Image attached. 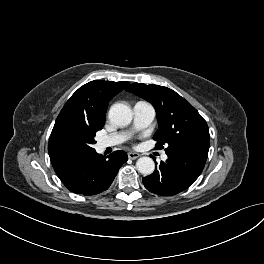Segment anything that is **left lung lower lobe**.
I'll return each mask as SVG.
<instances>
[{"instance_id": "left-lung-lower-lobe-1", "label": "left lung lower lobe", "mask_w": 264, "mask_h": 264, "mask_svg": "<svg viewBox=\"0 0 264 264\" xmlns=\"http://www.w3.org/2000/svg\"><path fill=\"white\" fill-rule=\"evenodd\" d=\"M168 159L143 178L147 190L154 194L172 196L187 189L201 174L207 157L186 148L166 153Z\"/></svg>"}]
</instances>
